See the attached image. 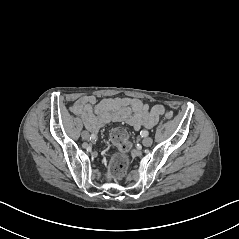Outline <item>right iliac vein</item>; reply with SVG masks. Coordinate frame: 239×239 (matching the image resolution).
Segmentation results:
<instances>
[{"mask_svg":"<svg viewBox=\"0 0 239 239\" xmlns=\"http://www.w3.org/2000/svg\"><path fill=\"white\" fill-rule=\"evenodd\" d=\"M81 136H82V138H83L84 140H88V139H89V133H88V131H83V132L81 133Z\"/></svg>","mask_w":239,"mask_h":239,"instance_id":"1","label":"right iliac vein"}]
</instances>
